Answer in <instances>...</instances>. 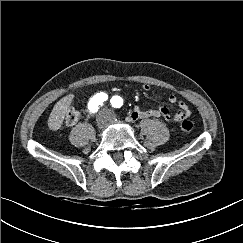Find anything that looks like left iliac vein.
<instances>
[{
  "label": "left iliac vein",
  "instance_id": "4c4485c4",
  "mask_svg": "<svg viewBox=\"0 0 243 243\" xmlns=\"http://www.w3.org/2000/svg\"><path fill=\"white\" fill-rule=\"evenodd\" d=\"M106 115H107V119L109 121L114 120L115 119V115L113 113H111L110 111H105Z\"/></svg>",
  "mask_w": 243,
  "mask_h": 243
}]
</instances>
